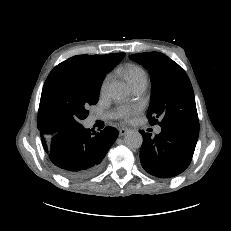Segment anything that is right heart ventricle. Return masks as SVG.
<instances>
[{"instance_id": "1", "label": "right heart ventricle", "mask_w": 231, "mask_h": 231, "mask_svg": "<svg viewBox=\"0 0 231 231\" xmlns=\"http://www.w3.org/2000/svg\"><path fill=\"white\" fill-rule=\"evenodd\" d=\"M119 72L132 89L140 85H147V74L138 65L127 64L121 67Z\"/></svg>"}]
</instances>
